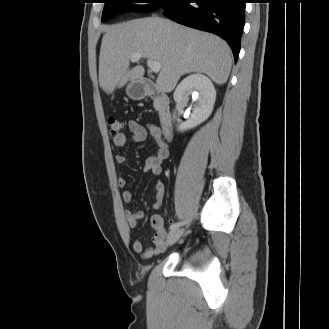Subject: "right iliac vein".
<instances>
[{
    "label": "right iliac vein",
    "instance_id": "63e3f726",
    "mask_svg": "<svg viewBox=\"0 0 329 329\" xmlns=\"http://www.w3.org/2000/svg\"><path fill=\"white\" fill-rule=\"evenodd\" d=\"M184 233L183 228H176L172 230L167 237V245H173Z\"/></svg>",
    "mask_w": 329,
    "mask_h": 329
}]
</instances>
